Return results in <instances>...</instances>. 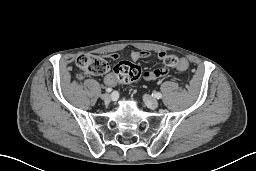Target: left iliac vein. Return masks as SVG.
<instances>
[{"instance_id":"1","label":"left iliac vein","mask_w":256,"mask_h":171,"mask_svg":"<svg viewBox=\"0 0 256 171\" xmlns=\"http://www.w3.org/2000/svg\"><path fill=\"white\" fill-rule=\"evenodd\" d=\"M143 100L145 102V104L151 108V109H156L159 106L158 101L155 98H152L150 95L148 94H144L143 95Z\"/></svg>"}]
</instances>
